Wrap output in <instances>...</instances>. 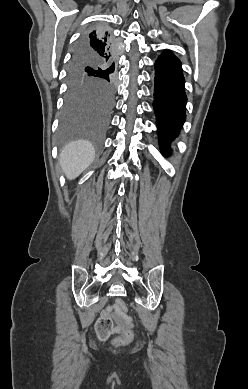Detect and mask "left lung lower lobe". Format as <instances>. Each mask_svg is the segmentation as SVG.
Masks as SVG:
<instances>
[{
    "label": "left lung lower lobe",
    "instance_id": "1",
    "mask_svg": "<svg viewBox=\"0 0 248 389\" xmlns=\"http://www.w3.org/2000/svg\"><path fill=\"white\" fill-rule=\"evenodd\" d=\"M154 111L157 117L159 143L168 155L169 143L179 134L186 114L185 79L180 60L165 50L155 63Z\"/></svg>",
    "mask_w": 248,
    "mask_h": 389
}]
</instances>
